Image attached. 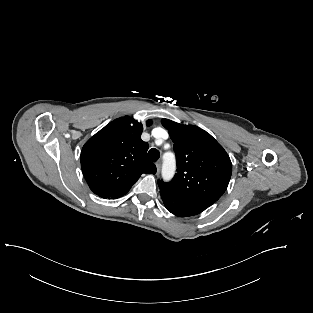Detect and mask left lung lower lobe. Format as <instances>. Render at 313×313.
I'll return each instance as SVG.
<instances>
[{"mask_svg": "<svg viewBox=\"0 0 313 313\" xmlns=\"http://www.w3.org/2000/svg\"><path fill=\"white\" fill-rule=\"evenodd\" d=\"M160 194L167 210L176 216L189 217L197 215L203 211V209L183 203L163 192H160Z\"/></svg>", "mask_w": 313, "mask_h": 313, "instance_id": "left-lung-lower-lobe-1", "label": "left lung lower lobe"}]
</instances>
